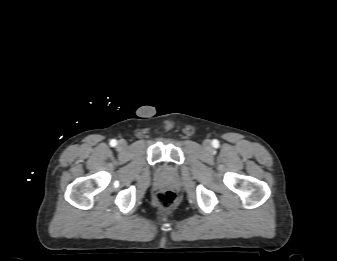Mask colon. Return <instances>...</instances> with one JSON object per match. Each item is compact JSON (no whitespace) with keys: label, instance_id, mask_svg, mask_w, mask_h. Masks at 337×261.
<instances>
[{"label":"colon","instance_id":"1","mask_svg":"<svg viewBox=\"0 0 337 261\" xmlns=\"http://www.w3.org/2000/svg\"><path fill=\"white\" fill-rule=\"evenodd\" d=\"M177 195L174 191L164 189L157 193L156 202L163 209H169L175 205Z\"/></svg>","mask_w":337,"mask_h":261}]
</instances>
